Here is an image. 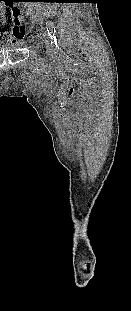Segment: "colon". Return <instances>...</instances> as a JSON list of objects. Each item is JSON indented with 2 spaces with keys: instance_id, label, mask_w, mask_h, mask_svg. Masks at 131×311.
Returning <instances> with one entry per match:
<instances>
[{
  "instance_id": "obj_1",
  "label": "colon",
  "mask_w": 131,
  "mask_h": 311,
  "mask_svg": "<svg viewBox=\"0 0 131 311\" xmlns=\"http://www.w3.org/2000/svg\"><path fill=\"white\" fill-rule=\"evenodd\" d=\"M20 18H22V13L18 8H3L0 6V32L7 33L6 39L10 37L9 33L14 29H26L27 24Z\"/></svg>"
}]
</instances>
